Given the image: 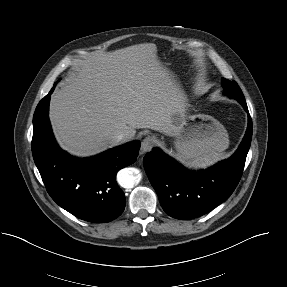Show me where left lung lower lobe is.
I'll return each mask as SVG.
<instances>
[{"mask_svg": "<svg viewBox=\"0 0 287 287\" xmlns=\"http://www.w3.org/2000/svg\"><path fill=\"white\" fill-rule=\"evenodd\" d=\"M248 111L245 100L239 101ZM252 138V120L237 151L205 171L192 172L154 148L144 157L146 174L163 210L176 219L200 217L227 200L236 188Z\"/></svg>", "mask_w": 287, "mask_h": 287, "instance_id": "left-lung-lower-lobe-1", "label": "left lung lower lobe"}]
</instances>
